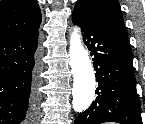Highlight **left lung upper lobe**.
<instances>
[{
  "instance_id": "left-lung-upper-lobe-1",
  "label": "left lung upper lobe",
  "mask_w": 145,
  "mask_h": 124,
  "mask_svg": "<svg viewBox=\"0 0 145 124\" xmlns=\"http://www.w3.org/2000/svg\"><path fill=\"white\" fill-rule=\"evenodd\" d=\"M74 10L127 41L118 0H77Z\"/></svg>"
}]
</instances>
